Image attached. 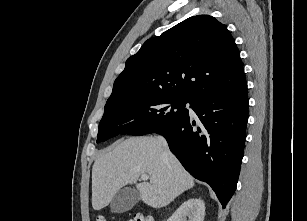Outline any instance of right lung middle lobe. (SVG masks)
Returning <instances> with one entry per match:
<instances>
[{"label": "right lung middle lobe", "mask_w": 307, "mask_h": 221, "mask_svg": "<svg viewBox=\"0 0 307 221\" xmlns=\"http://www.w3.org/2000/svg\"><path fill=\"white\" fill-rule=\"evenodd\" d=\"M192 101L164 93L124 97L105 105L97 143L119 134L141 136L174 125L188 116Z\"/></svg>", "instance_id": "obj_1"}]
</instances>
